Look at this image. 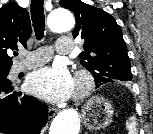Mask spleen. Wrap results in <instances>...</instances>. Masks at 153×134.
<instances>
[{
  "instance_id": "obj_1",
  "label": "spleen",
  "mask_w": 153,
  "mask_h": 134,
  "mask_svg": "<svg viewBox=\"0 0 153 134\" xmlns=\"http://www.w3.org/2000/svg\"><path fill=\"white\" fill-rule=\"evenodd\" d=\"M126 128L128 129V134H138L137 123L134 116L128 119Z\"/></svg>"
}]
</instances>
